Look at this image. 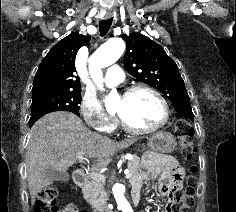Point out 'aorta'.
<instances>
[{"instance_id": "obj_1", "label": "aorta", "mask_w": 236, "mask_h": 212, "mask_svg": "<svg viewBox=\"0 0 236 212\" xmlns=\"http://www.w3.org/2000/svg\"><path fill=\"white\" fill-rule=\"evenodd\" d=\"M125 50V44L120 38H112L99 47L89 58V73L92 80L100 90H103V73L102 68L108 67L116 62ZM116 95L110 94L106 97L107 105L113 103ZM112 192L117 203V208L122 212H133L130 203L125 197V188L123 185L116 183L112 187Z\"/></svg>"}]
</instances>
